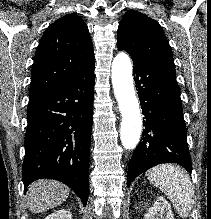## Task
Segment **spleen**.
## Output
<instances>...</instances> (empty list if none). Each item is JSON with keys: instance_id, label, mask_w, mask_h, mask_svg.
<instances>
[{"instance_id": "obj_1", "label": "spleen", "mask_w": 211, "mask_h": 219, "mask_svg": "<svg viewBox=\"0 0 211 219\" xmlns=\"http://www.w3.org/2000/svg\"><path fill=\"white\" fill-rule=\"evenodd\" d=\"M146 176L170 199L182 218L189 216L193 191L189 175L183 168L173 164H163L149 170Z\"/></svg>"}]
</instances>
